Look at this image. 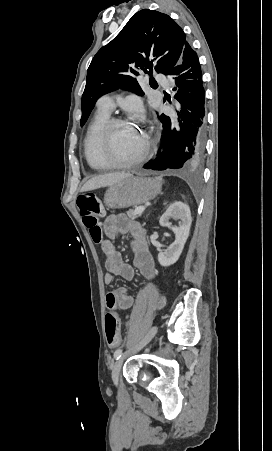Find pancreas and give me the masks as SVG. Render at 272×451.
Segmentation results:
<instances>
[{"instance_id":"pancreas-1","label":"pancreas","mask_w":272,"mask_h":451,"mask_svg":"<svg viewBox=\"0 0 272 451\" xmlns=\"http://www.w3.org/2000/svg\"><path fill=\"white\" fill-rule=\"evenodd\" d=\"M126 214L128 218H131V220H136V218H139V216H141V214H135V210H128Z\"/></svg>"}]
</instances>
